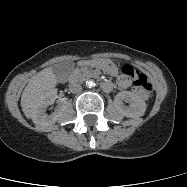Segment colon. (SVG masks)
Wrapping results in <instances>:
<instances>
[{
	"label": "colon",
	"instance_id": "obj_1",
	"mask_svg": "<svg viewBox=\"0 0 187 187\" xmlns=\"http://www.w3.org/2000/svg\"><path fill=\"white\" fill-rule=\"evenodd\" d=\"M124 77L130 78L141 96L147 98L153 91V85L146 75L136 71L129 65H125L122 69Z\"/></svg>",
	"mask_w": 187,
	"mask_h": 187
}]
</instances>
